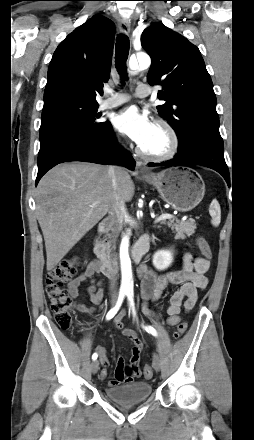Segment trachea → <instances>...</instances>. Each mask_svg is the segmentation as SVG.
<instances>
[{
	"label": "trachea",
	"mask_w": 254,
	"mask_h": 440,
	"mask_svg": "<svg viewBox=\"0 0 254 440\" xmlns=\"http://www.w3.org/2000/svg\"><path fill=\"white\" fill-rule=\"evenodd\" d=\"M129 54V38L126 35H119L115 46V66L119 72L122 83L127 79L126 61Z\"/></svg>",
	"instance_id": "obj_1"
}]
</instances>
